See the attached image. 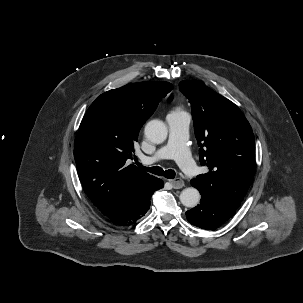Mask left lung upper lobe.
<instances>
[{"label":"left lung upper lobe","instance_id":"obj_1","mask_svg":"<svg viewBox=\"0 0 303 303\" xmlns=\"http://www.w3.org/2000/svg\"><path fill=\"white\" fill-rule=\"evenodd\" d=\"M180 91L191 103L201 165L209 172L191 180L208 192L240 207L255 171L252 128L241 110L199 80L181 81Z\"/></svg>","mask_w":303,"mask_h":303}]
</instances>
